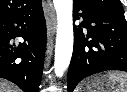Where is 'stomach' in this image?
I'll list each match as a JSON object with an SVG mask.
<instances>
[{
	"label": "stomach",
	"instance_id": "obj_1",
	"mask_svg": "<svg viewBox=\"0 0 127 92\" xmlns=\"http://www.w3.org/2000/svg\"><path fill=\"white\" fill-rule=\"evenodd\" d=\"M114 88L115 84L103 75L89 79L84 85L83 92H110Z\"/></svg>",
	"mask_w": 127,
	"mask_h": 92
}]
</instances>
